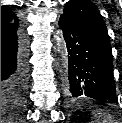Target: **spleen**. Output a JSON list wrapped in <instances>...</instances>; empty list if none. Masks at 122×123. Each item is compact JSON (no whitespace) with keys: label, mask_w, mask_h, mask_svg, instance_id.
Instances as JSON below:
<instances>
[{"label":"spleen","mask_w":122,"mask_h":123,"mask_svg":"<svg viewBox=\"0 0 122 123\" xmlns=\"http://www.w3.org/2000/svg\"><path fill=\"white\" fill-rule=\"evenodd\" d=\"M94 116L96 118V123H107V119L101 111L94 112Z\"/></svg>","instance_id":"spleen-1"}]
</instances>
